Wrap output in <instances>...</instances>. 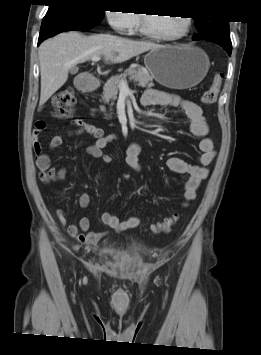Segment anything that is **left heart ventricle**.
<instances>
[{
  "mask_svg": "<svg viewBox=\"0 0 261 355\" xmlns=\"http://www.w3.org/2000/svg\"><path fill=\"white\" fill-rule=\"evenodd\" d=\"M148 27L155 33L174 36L184 29L182 17L146 14Z\"/></svg>",
  "mask_w": 261,
  "mask_h": 355,
  "instance_id": "obj_1",
  "label": "left heart ventricle"
}]
</instances>
